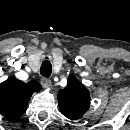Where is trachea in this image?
I'll list each match as a JSON object with an SVG mask.
<instances>
[{"instance_id": "3493384b", "label": "trachea", "mask_w": 130, "mask_h": 130, "mask_svg": "<svg viewBox=\"0 0 130 130\" xmlns=\"http://www.w3.org/2000/svg\"><path fill=\"white\" fill-rule=\"evenodd\" d=\"M47 59V58H46ZM52 72V65L48 60H44L41 68L40 73L42 76L49 78Z\"/></svg>"}]
</instances>
